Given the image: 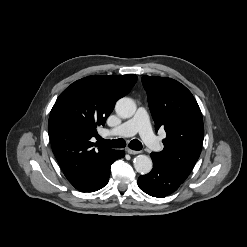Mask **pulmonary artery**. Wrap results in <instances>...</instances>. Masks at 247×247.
Listing matches in <instances>:
<instances>
[{
    "label": "pulmonary artery",
    "mask_w": 247,
    "mask_h": 247,
    "mask_svg": "<svg viewBox=\"0 0 247 247\" xmlns=\"http://www.w3.org/2000/svg\"><path fill=\"white\" fill-rule=\"evenodd\" d=\"M139 133L144 143L153 151L161 149V143L152 132L148 113L145 108H138L135 115L128 121L122 123L116 128H113L107 132L109 135L114 136H132Z\"/></svg>",
    "instance_id": "obj_1"
}]
</instances>
